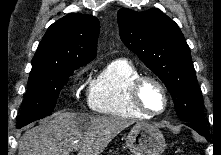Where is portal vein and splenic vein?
Here are the masks:
<instances>
[{
    "label": "portal vein and splenic vein",
    "instance_id": "portal-vein-and-splenic-vein-1",
    "mask_svg": "<svg viewBox=\"0 0 221 155\" xmlns=\"http://www.w3.org/2000/svg\"><path fill=\"white\" fill-rule=\"evenodd\" d=\"M75 150L79 149V146L74 147Z\"/></svg>",
    "mask_w": 221,
    "mask_h": 155
}]
</instances>
